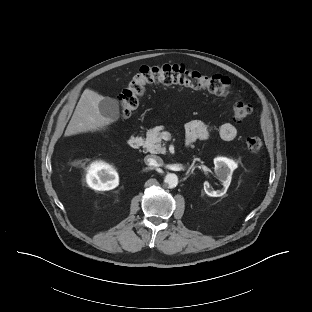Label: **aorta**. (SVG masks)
Instances as JSON below:
<instances>
[{
  "label": "aorta",
  "mask_w": 312,
  "mask_h": 312,
  "mask_svg": "<svg viewBox=\"0 0 312 312\" xmlns=\"http://www.w3.org/2000/svg\"><path fill=\"white\" fill-rule=\"evenodd\" d=\"M164 182L168 185L169 188H175L178 184V177L174 173H168L165 176Z\"/></svg>",
  "instance_id": "1"
}]
</instances>
